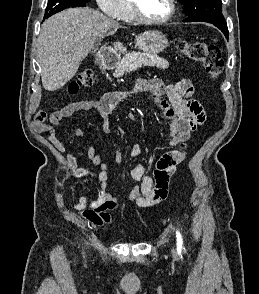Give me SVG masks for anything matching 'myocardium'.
Returning a JSON list of instances; mask_svg holds the SVG:
<instances>
[{
	"label": "myocardium",
	"mask_w": 259,
	"mask_h": 294,
	"mask_svg": "<svg viewBox=\"0 0 259 294\" xmlns=\"http://www.w3.org/2000/svg\"><path fill=\"white\" fill-rule=\"evenodd\" d=\"M130 5L134 14L135 19L142 24H147V25H161L165 24L168 21H170L175 13H176V2L175 0H168L169 2V11L166 16L160 19H151L146 17L143 12L141 11L138 1L137 0H129Z\"/></svg>",
	"instance_id": "f54148a6"
}]
</instances>
